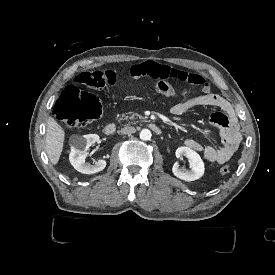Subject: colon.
<instances>
[{"instance_id":"obj_1","label":"colon","mask_w":275,"mask_h":275,"mask_svg":"<svg viewBox=\"0 0 275 275\" xmlns=\"http://www.w3.org/2000/svg\"><path fill=\"white\" fill-rule=\"evenodd\" d=\"M76 81L80 88H89L91 92L110 90L102 78V72H91L89 68H80L76 74ZM205 90L184 88L178 91L173 85H166L163 81H156L152 85V92L160 97L181 95H200ZM101 113L100 99L89 92L82 91L75 86H67L55 100L53 114L55 119L64 127L81 129L99 119ZM220 173L227 176L230 168L222 166Z\"/></svg>"}]
</instances>
